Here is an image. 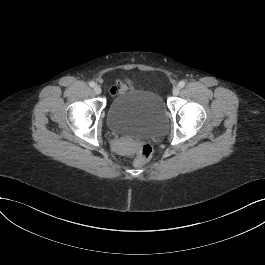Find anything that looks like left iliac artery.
I'll use <instances>...</instances> for the list:
<instances>
[{"instance_id": "left-iliac-artery-1", "label": "left iliac artery", "mask_w": 265, "mask_h": 265, "mask_svg": "<svg viewBox=\"0 0 265 265\" xmlns=\"http://www.w3.org/2000/svg\"><path fill=\"white\" fill-rule=\"evenodd\" d=\"M178 86H179L180 88H183V87L185 86V82H184V81H180V82L178 83Z\"/></svg>"}]
</instances>
